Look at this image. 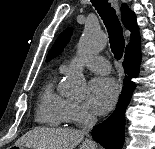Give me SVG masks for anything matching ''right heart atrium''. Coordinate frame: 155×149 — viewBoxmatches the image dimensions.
Wrapping results in <instances>:
<instances>
[{"label": "right heart atrium", "instance_id": "right-heart-atrium-1", "mask_svg": "<svg viewBox=\"0 0 155 149\" xmlns=\"http://www.w3.org/2000/svg\"><path fill=\"white\" fill-rule=\"evenodd\" d=\"M68 122L83 126L94 122L93 115L80 103L68 101L67 105Z\"/></svg>", "mask_w": 155, "mask_h": 149}]
</instances>
